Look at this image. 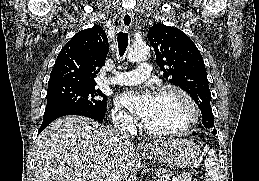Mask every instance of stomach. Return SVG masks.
I'll return each mask as SVG.
<instances>
[{
    "instance_id": "1",
    "label": "stomach",
    "mask_w": 259,
    "mask_h": 181,
    "mask_svg": "<svg viewBox=\"0 0 259 181\" xmlns=\"http://www.w3.org/2000/svg\"><path fill=\"white\" fill-rule=\"evenodd\" d=\"M142 155L172 169L186 168L198 159L200 148L191 140L168 139L160 147L152 148Z\"/></svg>"
}]
</instances>
